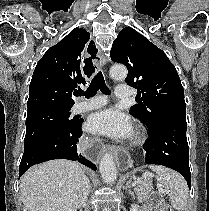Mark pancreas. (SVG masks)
<instances>
[{
	"label": "pancreas",
	"mask_w": 209,
	"mask_h": 211,
	"mask_svg": "<svg viewBox=\"0 0 209 211\" xmlns=\"http://www.w3.org/2000/svg\"><path fill=\"white\" fill-rule=\"evenodd\" d=\"M152 190L153 185L149 179H139L136 181L134 191L140 202L147 200L150 197Z\"/></svg>",
	"instance_id": "pancreas-1"
}]
</instances>
